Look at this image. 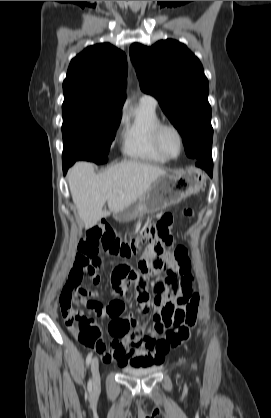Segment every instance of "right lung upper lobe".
Wrapping results in <instances>:
<instances>
[{"instance_id": "cb5924a9", "label": "right lung upper lobe", "mask_w": 271, "mask_h": 418, "mask_svg": "<svg viewBox=\"0 0 271 418\" xmlns=\"http://www.w3.org/2000/svg\"><path fill=\"white\" fill-rule=\"evenodd\" d=\"M127 61L123 51L109 43L87 47L72 59L63 82L64 103L122 109Z\"/></svg>"}]
</instances>
